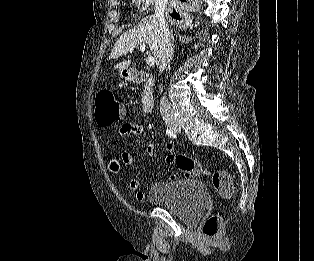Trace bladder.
Masks as SVG:
<instances>
[{
  "label": "bladder",
  "instance_id": "bladder-1",
  "mask_svg": "<svg viewBox=\"0 0 314 261\" xmlns=\"http://www.w3.org/2000/svg\"><path fill=\"white\" fill-rule=\"evenodd\" d=\"M147 198L186 221L197 219L208 207V191L200 180L156 182Z\"/></svg>",
  "mask_w": 314,
  "mask_h": 261
}]
</instances>
